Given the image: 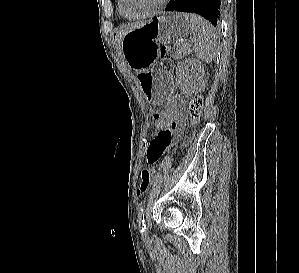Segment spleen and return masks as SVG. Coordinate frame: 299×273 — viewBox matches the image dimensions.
<instances>
[{
    "instance_id": "1",
    "label": "spleen",
    "mask_w": 299,
    "mask_h": 273,
    "mask_svg": "<svg viewBox=\"0 0 299 273\" xmlns=\"http://www.w3.org/2000/svg\"><path fill=\"white\" fill-rule=\"evenodd\" d=\"M185 19L192 33L191 43L196 57L205 63H211L217 55L218 33L216 29L196 14H185Z\"/></svg>"
}]
</instances>
